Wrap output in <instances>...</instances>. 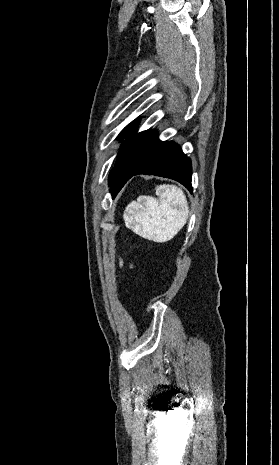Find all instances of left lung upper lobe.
<instances>
[{
    "mask_svg": "<svg viewBox=\"0 0 279 465\" xmlns=\"http://www.w3.org/2000/svg\"><path fill=\"white\" fill-rule=\"evenodd\" d=\"M137 124V121H133L119 134L126 141L121 145L118 160L109 174V186L113 195L164 143L158 139L155 130L134 133Z\"/></svg>",
    "mask_w": 279,
    "mask_h": 465,
    "instance_id": "1",
    "label": "left lung upper lobe"
}]
</instances>
